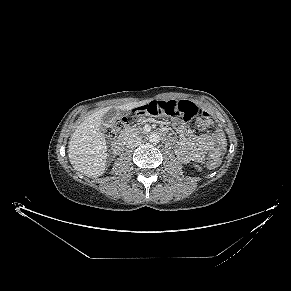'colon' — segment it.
<instances>
[{
	"mask_svg": "<svg viewBox=\"0 0 291 291\" xmlns=\"http://www.w3.org/2000/svg\"><path fill=\"white\" fill-rule=\"evenodd\" d=\"M182 116L184 119L198 118L206 126L212 124L209 113L188 100L152 101L137 107L132 115L118 116L108 126L107 133L113 137L128 125L133 123L139 116ZM219 160H210L208 167L215 169L219 167Z\"/></svg>",
	"mask_w": 291,
	"mask_h": 291,
	"instance_id": "obj_1",
	"label": "colon"
}]
</instances>
